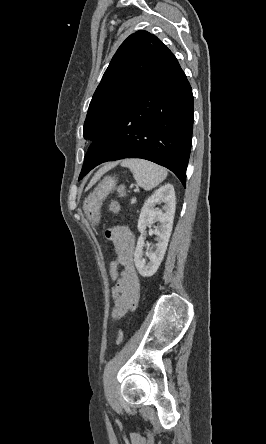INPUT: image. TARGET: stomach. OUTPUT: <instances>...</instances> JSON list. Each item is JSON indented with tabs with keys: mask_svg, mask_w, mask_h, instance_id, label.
<instances>
[{
	"mask_svg": "<svg viewBox=\"0 0 266 444\" xmlns=\"http://www.w3.org/2000/svg\"><path fill=\"white\" fill-rule=\"evenodd\" d=\"M116 187L115 177H105L84 201L83 210L86 217L93 223H97L100 218V208L102 201Z\"/></svg>",
	"mask_w": 266,
	"mask_h": 444,
	"instance_id": "obj_1",
	"label": "stomach"
}]
</instances>
